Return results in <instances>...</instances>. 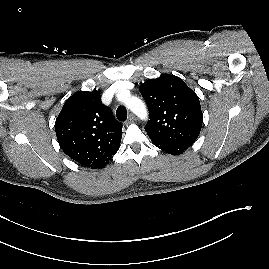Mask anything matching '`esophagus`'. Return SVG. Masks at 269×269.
Returning <instances> with one entry per match:
<instances>
[{"instance_id": "34e87169", "label": "esophagus", "mask_w": 269, "mask_h": 269, "mask_svg": "<svg viewBox=\"0 0 269 269\" xmlns=\"http://www.w3.org/2000/svg\"><path fill=\"white\" fill-rule=\"evenodd\" d=\"M135 120H136L135 116L131 113V114H129L127 123H128V124H129V123H133Z\"/></svg>"}]
</instances>
